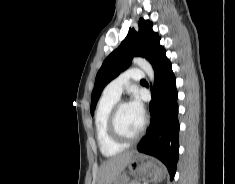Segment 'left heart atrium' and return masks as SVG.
Instances as JSON below:
<instances>
[{
	"mask_svg": "<svg viewBox=\"0 0 235 184\" xmlns=\"http://www.w3.org/2000/svg\"><path fill=\"white\" fill-rule=\"evenodd\" d=\"M128 106L135 115L143 118L144 108H143L141 101L136 95L132 97V99L128 103Z\"/></svg>",
	"mask_w": 235,
	"mask_h": 184,
	"instance_id": "1",
	"label": "left heart atrium"
}]
</instances>
